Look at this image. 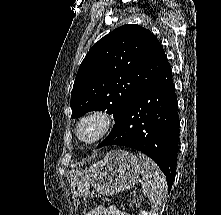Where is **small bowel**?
<instances>
[{"instance_id": "c3829d8e", "label": "small bowel", "mask_w": 221, "mask_h": 215, "mask_svg": "<svg viewBox=\"0 0 221 215\" xmlns=\"http://www.w3.org/2000/svg\"><path fill=\"white\" fill-rule=\"evenodd\" d=\"M86 215H130L126 212L118 210L114 206L98 207L86 213Z\"/></svg>"}]
</instances>
